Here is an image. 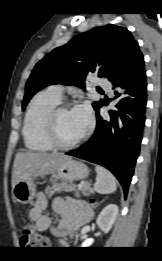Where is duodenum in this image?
I'll return each instance as SVG.
<instances>
[{"mask_svg": "<svg viewBox=\"0 0 162 261\" xmlns=\"http://www.w3.org/2000/svg\"><path fill=\"white\" fill-rule=\"evenodd\" d=\"M69 230H67L65 227L63 228L62 232L67 234Z\"/></svg>", "mask_w": 162, "mask_h": 261, "instance_id": "1", "label": "duodenum"}]
</instances>
